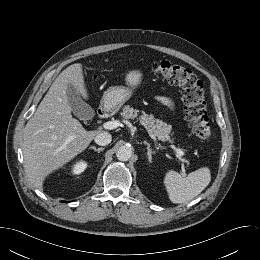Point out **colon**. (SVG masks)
Listing matches in <instances>:
<instances>
[{"label":"colon","mask_w":260,"mask_h":260,"mask_svg":"<svg viewBox=\"0 0 260 260\" xmlns=\"http://www.w3.org/2000/svg\"><path fill=\"white\" fill-rule=\"evenodd\" d=\"M152 70L168 83L181 87L185 117L192 133L202 141L209 140L211 127L202 81L189 68L170 61H157L153 64Z\"/></svg>","instance_id":"obj_1"}]
</instances>
